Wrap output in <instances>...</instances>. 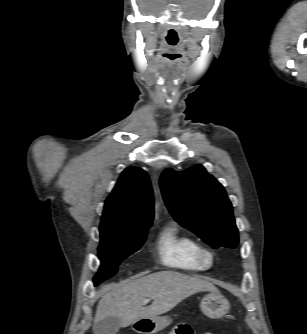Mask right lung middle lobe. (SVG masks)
I'll return each mask as SVG.
<instances>
[{
  "label": "right lung middle lobe",
  "instance_id": "dd1d6c3e",
  "mask_svg": "<svg viewBox=\"0 0 307 334\" xmlns=\"http://www.w3.org/2000/svg\"><path fill=\"white\" fill-rule=\"evenodd\" d=\"M149 227L133 228L117 232L100 233L101 242L98 248L101 266L94 277V284L112 277L117 267L129 255L142 246Z\"/></svg>",
  "mask_w": 307,
  "mask_h": 334
}]
</instances>
